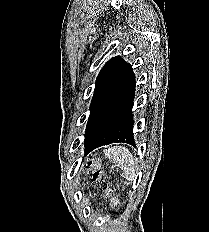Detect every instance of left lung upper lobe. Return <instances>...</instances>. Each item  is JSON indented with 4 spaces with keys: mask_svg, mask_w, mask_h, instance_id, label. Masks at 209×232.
I'll use <instances>...</instances> for the list:
<instances>
[{
    "mask_svg": "<svg viewBox=\"0 0 209 232\" xmlns=\"http://www.w3.org/2000/svg\"><path fill=\"white\" fill-rule=\"evenodd\" d=\"M131 69L130 64L125 62L119 56L110 59L101 69L96 79L90 110L98 103L113 95V93L123 84Z\"/></svg>",
    "mask_w": 209,
    "mask_h": 232,
    "instance_id": "obj_1",
    "label": "left lung upper lobe"
}]
</instances>
